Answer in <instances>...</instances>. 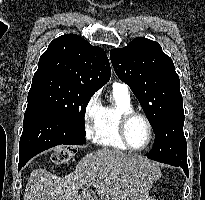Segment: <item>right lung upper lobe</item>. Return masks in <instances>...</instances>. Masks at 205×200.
<instances>
[{"instance_id":"cb5924a9","label":"right lung upper lobe","mask_w":205,"mask_h":200,"mask_svg":"<svg viewBox=\"0 0 205 200\" xmlns=\"http://www.w3.org/2000/svg\"><path fill=\"white\" fill-rule=\"evenodd\" d=\"M110 64L100 47L75 34L54 39L39 59L32 80L57 78L76 83L94 92L110 79Z\"/></svg>"}]
</instances>
